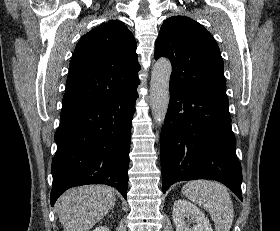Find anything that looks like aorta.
<instances>
[{
    "label": "aorta",
    "mask_w": 280,
    "mask_h": 231,
    "mask_svg": "<svg viewBox=\"0 0 280 231\" xmlns=\"http://www.w3.org/2000/svg\"><path fill=\"white\" fill-rule=\"evenodd\" d=\"M171 72V62L170 60H167V58H159L152 70L150 82V104L153 117L158 125H162V123H164L168 110Z\"/></svg>",
    "instance_id": "aorta-1"
}]
</instances>
